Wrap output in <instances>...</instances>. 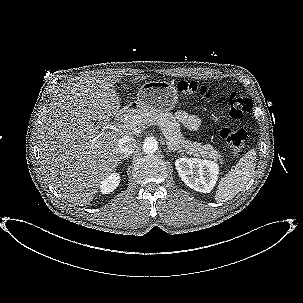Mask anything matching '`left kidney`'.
I'll list each match as a JSON object with an SVG mask.
<instances>
[{"label": "left kidney", "instance_id": "left-kidney-1", "mask_svg": "<svg viewBox=\"0 0 303 303\" xmlns=\"http://www.w3.org/2000/svg\"><path fill=\"white\" fill-rule=\"evenodd\" d=\"M175 166L182 181L195 191L209 193L217 182L219 168L214 161L183 157Z\"/></svg>", "mask_w": 303, "mask_h": 303}]
</instances>
